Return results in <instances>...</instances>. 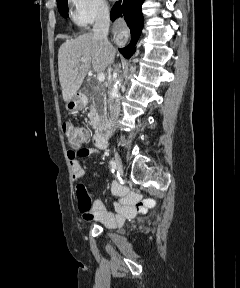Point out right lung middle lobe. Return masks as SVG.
Listing matches in <instances>:
<instances>
[{"label":"right lung middle lobe","instance_id":"obj_1","mask_svg":"<svg viewBox=\"0 0 240 288\" xmlns=\"http://www.w3.org/2000/svg\"><path fill=\"white\" fill-rule=\"evenodd\" d=\"M57 5H58V9H59L60 14L64 18H67L68 17L67 0H57Z\"/></svg>","mask_w":240,"mask_h":288}]
</instances>
